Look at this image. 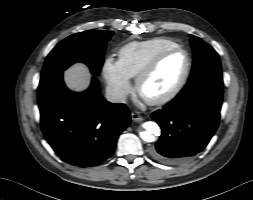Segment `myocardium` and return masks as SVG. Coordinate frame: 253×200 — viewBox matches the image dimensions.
<instances>
[{
  "label": "myocardium",
  "instance_id": "1",
  "mask_svg": "<svg viewBox=\"0 0 253 200\" xmlns=\"http://www.w3.org/2000/svg\"><path fill=\"white\" fill-rule=\"evenodd\" d=\"M173 52H182L185 55L186 67H185L182 77L180 78L178 83L165 95L158 97V98H154V99H147V98L143 97L141 94V86H142L143 82L157 68V66L162 61V59ZM191 67H192V60H191V57L186 49H184L183 47L178 46V45L164 49V50L160 51L158 54H156L149 61V63L137 74L136 79H135L136 91L138 92V94H140L144 98V100L149 105L158 106V105H163L165 103H168L173 98H175L178 95V93L182 90V88L185 86V84L189 78L190 72H191Z\"/></svg>",
  "mask_w": 253,
  "mask_h": 200
}]
</instances>
